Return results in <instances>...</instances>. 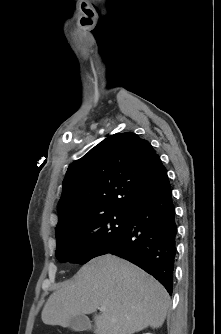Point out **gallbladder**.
I'll use <instances>...</instances> for the list:
<instances>
[{
    "instance_id": "bac80fb5",
    "label": "gallbladder",
    "mask_w": 221,
    "mask_h": 334,
    "mask_svg": "<svg viewBox=\"0 0 221 334\" xmlns=\"http://www.w3.org/2000/svg\"><path fill=\"white\" fill-rule=\"evenodd\" d=\"M68 327L77 332L89 331L92 329L91 322L85 315L73 316L69 321Z\"/></svg>"
}]
</instances>
